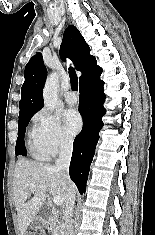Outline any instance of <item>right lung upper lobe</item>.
<instances>
[{
	"label": "right lung upper lobe",
	"mask_w": 155,
	"mask_h": 235,
	"mask_svg": "<svg viewBox=\"0 0 155 235\" xmlns=\"http://www.w3.org/2000/svg\"><path fill=\"white\" fill-rule=\"evenodd\" d=\"M62 60L69 57L78 71L82 72L79 84L101 74L102 69L96 65V59L90 55V48L79 30L69 25L64 32L63 42L60 47ZM25 82L21 89L19 102V117L35 114L44 106L43 87L47 77V70L41 53L34 55L25 67Z\"/></svg>",
	"instance_id": "obj_1"
}]
</instances>
